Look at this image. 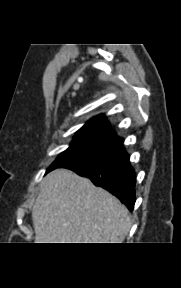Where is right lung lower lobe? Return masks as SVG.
I'll list each match as a JSON object with an SVG mask.
<instances>
[{
  "label": "right lung lower lobe",
  "instance_id": "obj_1",
  "mask_svg": "<svg viewBox=\"0 0 181 288\" xmlns=\"http://www.w3.org/2000/svg\"><path fill=\"white\" fill-rule=\"evenodd\" d=\"M64 168L88 177L95 185L108 190L120 199L129 210H133L136 201V178L127 153L95 162H78Z\"/></svg>",
  "mask_w": 181,
  "mask_h": 288
}]
</instances>
